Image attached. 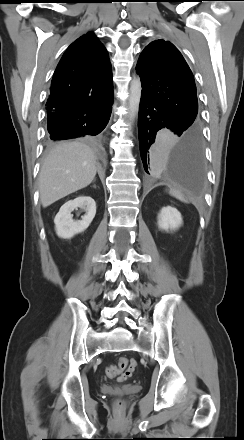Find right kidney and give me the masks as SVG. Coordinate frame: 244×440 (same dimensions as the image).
Masks as SVG:
<instances>
[{
	"mask_svg": "<svg viewBox=\"0 0 244 440\" xmlns=\"http://www.w3.org/2000/svg\"><path fill=\"white\" fill-rule=\"evenodd\" d=\"M78 208L86 211L82 220H73L71 214ZM96 214V203L90 196H79L66 202L55 216V230L57 235L63 239H71L76 234L84 232L91 224Z\"/></svg>",
	"mask_w": 244,
	"mask_h": 440,
	"instance_id": "right-kidney-1",
	"label": "right kidney"
}]
</instances>
